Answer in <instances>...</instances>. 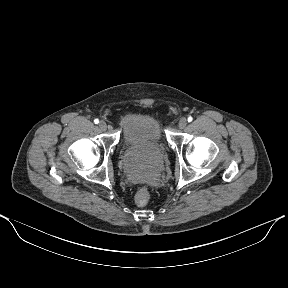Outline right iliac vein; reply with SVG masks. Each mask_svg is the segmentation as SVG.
Instances as JSON below:
<instances>
[{
    "instance_id": "right-iliac-vein-1",
    "label": "right iliac vein",
    "mask_w": 288,
    "mask_h": 288,
    "mask_svg": "<svg viewBox=\"0 0 288 288\" xmlns=\"http://www.w3.org/2000/svg\"><path fill=\"white\" fill-rule=\"evenodd\" d=\"M99 128H100L102 131H105V130L107 129V124H106V122L101 121V122L99 123Z\"/></svg>"
}]
</instances>
